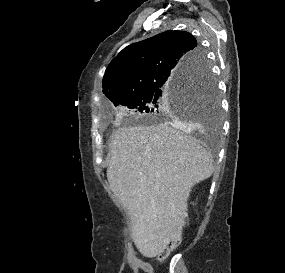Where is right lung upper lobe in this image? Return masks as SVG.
Wrapping results in <instances>:
<instances>
[{
    "mask_svg": "<svg viewBox=\"0 0 285 273\" xmlns=\"http://www.w3.org/2000/svg\"><path fill=\"white\" fill-rule=\"evenodd\" d=\"M205 62L193 35L165 31L124 48L105 71L103 93L120 105L155 86L200 72Z\"/></svg>",
    "mask_w": 285,
    "mask_h": 273,
    "instance_id": "1",
    "label": "right lung upper lobe"
}]
</instances>
